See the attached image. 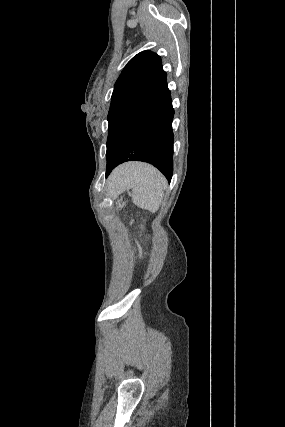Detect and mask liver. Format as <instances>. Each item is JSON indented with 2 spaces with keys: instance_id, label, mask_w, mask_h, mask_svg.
I'll return each mask as SVG.
<instances>
[{
  "instance_id": "obj_1",
  "label": "liver",
  "mask_w": 285,
  "mask_h": 427,
  "mask_svg": "<svg viewBox=\"0 0 285 427\" xmlns=\"http://www.w3.org/2000/svg\"><path fill=\"white\" fill-rule=\"evenodd\" d=\"M130 164H126V165H122L121 167H119L115 172H114V174H113V176L114 175H116V174H118L119 173V171H122L123 169H125L127 166H129ZM113 178V177H112Z\"/></svg>"
}]
</instances>
